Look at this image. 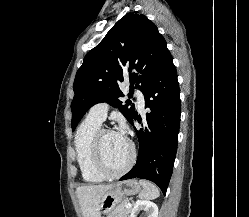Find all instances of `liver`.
I'll return each instance as SVG.
<instances>
[{
    "mask_svg": "<svg viewBox=\"0 0 249 217\" xmlns=\"http://www.w3.org/2000/svg\"><path fill=\"white\" fill-rule=\"evenodd\" d=\"M111 187L112 185H90L76 189L83 217H101L99 203L104 193Z\"/></svg>",
    "mask_w": 249,
    "mask_h": 217,
    "instance_id": "obj_1",
    "label": "liver"
}]
</instances>
